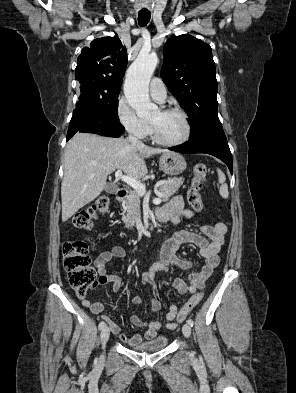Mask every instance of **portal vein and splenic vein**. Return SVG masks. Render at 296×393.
<instances>
[{"mask_svg":"<svg viewBox=\"0 0 296 393\" xmlns=\"http://www.w3.org/2000/svg\"><path fill=\"white\" fill-rule=\"evenodd\" d=\"M115 177L117 179H121L123 182L131 186L140 196L145 195L146 187L138 180L131 178L127 175H123L121 170L116 171ZM160 201H161V196L159 198L154 199V202H160Z\"/></svg>","mask_w":296,"mask_h":393,"instance_id":"portal-vein-and-splenic-vein-1","label":"portal vein and splenic vein"}]
</instances>
